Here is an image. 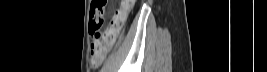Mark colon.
Returning a JSON list of instances; mask_svg holds the SVG:
<instances>
[{
  "label": "colon",
  "instance_id": "5ec220e1",
  "mask_svg": "<svg viewBox=\"0 0 267 72\" xmlns=\"http://www.w3.org/2000/svg\"><path fill=\"white\" fill-rule=\"evenodd\" d=\"M107 2V0H96L94 2L89 22V31L94 38L89 58L90 65L93 68H97L102 64L118 35L119 27L117 24H111L106 30H102L104 8Z\"/></svg>",
  "mask_w": 267,
  "mask_h": 72
}]
</instances>
